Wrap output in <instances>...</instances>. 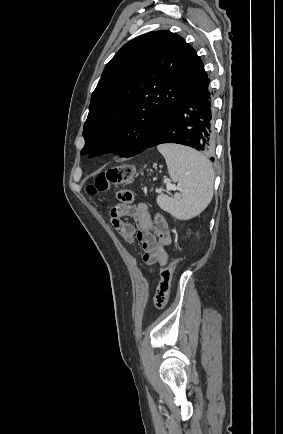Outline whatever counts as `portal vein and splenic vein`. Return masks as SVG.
<instances>
[{"mask_svg":"<svg viewBox=\"0 0 283 434\" xmlns=\"http://www.w3.org/2000/svg\"><path fill=\"white\" fill-rule=\"evenodd\" d=\"M166 188H167V190H172V189H174V186L171 183H167Z\"/></svg>","mask_w":283,"mask_h":434,"instance_id":"portal-vein-and-splenic-vein-1","label":"portal vein and splenic vein"}]
</instances>
